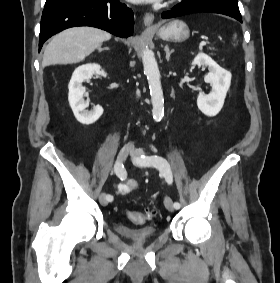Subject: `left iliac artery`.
I'll return each mask as SVG.
<instances>
[{
    "instance_id": "1",
    "label": "left iliac artery",
    "mask_w": 280,
    "mask_h": 283,
    "mask_svg": "<svg viewBox=\"0 0 280 283\" xmlns=\"http://www.w3.org/2000/svg\"><path fill=\"white\" fill-rule=\"evenodd\" d=\"M139 162L143 165H147V166L152 165L158 168L161 174L165 177L166 182L168 184H172L173 175H172L171 167L165 158L157 155H153V156L142 155L139 159ZM173 205L175 209L180 208V204L178 202H175Z\"/></svg>"
}]
</instances>
